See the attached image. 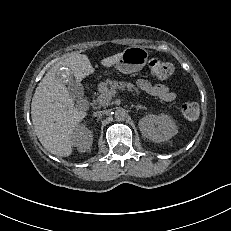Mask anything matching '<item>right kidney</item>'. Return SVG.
<instances>
[{
    "label": "right kidney",
    "mask_w": 231,
    "mask_h": 231,
    "mask_svg": "<svg viewBox=\"0 0 231 231\" xmlns=\"http://www.w3.org/2000/svg\"><path fill=\"white\" fill-rule=\"evenodd\" d=\"M93 142V132L84 125H79L73 136V145L78 151L83 153L91 148Z\"/></svg>",
    "instance_id": "obj_1"
}]
</instances>
